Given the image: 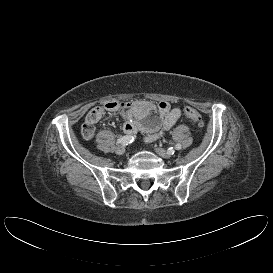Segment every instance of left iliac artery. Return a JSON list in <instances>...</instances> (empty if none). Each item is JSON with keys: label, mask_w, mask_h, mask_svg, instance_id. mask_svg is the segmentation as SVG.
Returning <instances> with one entry per match:
<instances>
[{"label": "left iliac artery", "mask_w": 273, "mask_h": 273, "mask_svg": "<svg viewBox=\"0 0 273 273\" xmlns=\"http://www.w3.org/2000/svg\"><path fill=\"white\" fill-rule=\"evenodd\" d=\"M181 148H182L181 144H176V145H175V149H176V150H180ZM168 152H169L170 154H174L175 151H174V149L171 147V148L168 149Z\"/></svg>", "instance_id": "obj_1"}]
</instances>
